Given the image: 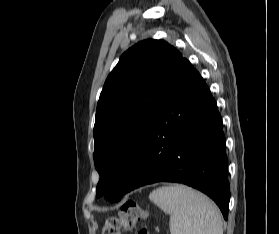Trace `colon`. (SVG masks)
<instances>
[{"label": "colon", "instance_id": "obj_1", "mask_svg": "<svg viewBox=\"0 0 279 234\" xmlns=\"http://www.w3.org/2000/svg\"><path fill=\"white\" fill-rule=\"evenodd\" d=\"M146 218L145 209L134 200L125 202L116 215L108 216L102 228V234H120L122 230L132 231ZM138 234H148L146 228H140Z\"/></svg>", "mask_w": 279, "mask_h": 234}]
</instances>
